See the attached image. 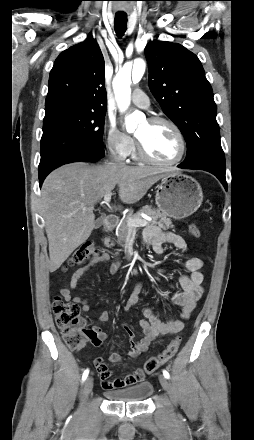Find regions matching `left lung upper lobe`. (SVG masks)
<instances>
[{
	"mask_svg": "<svg viewBox=\"0 0 254 440\" xmlns=\"http://www.w3.org/2000/svg\"><path fill=\"white\" fill-rule=\"evenodd\" d=\"M149 88L186 144L184 165L214 160L225 165L213 91L198 57L180 44L150 42L145 48Z\"/></svg>",
	"mask_w": 254,
	"mask_h": 440,
	"instance_id": "1",
	"label": "left lung upper lobe"
}]
</instances>
